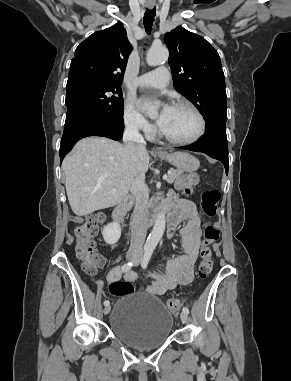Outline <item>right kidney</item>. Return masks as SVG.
I'll list each match as a JSON object with an SVG mask.
<instances>
[{
  "label": "right kidney",
  "mask_w": 291,
  "mask_h": 381,
  "mask_svg": "<svg viewBox=\"0 0 291 381\" xmlns=\"http://www.w3.org/2000/svg\"><path fill=\"white\" fill-rule=\"evenodd\" d=\"M103 238L106 243L113 245L120 239L121 228L118 222L107 224L102 232Z\"/></svg>",
  "instance_id": "1"
}]
</instances>
